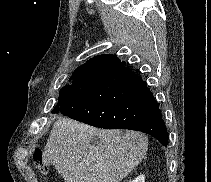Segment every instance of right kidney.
Listing matches in <instances>:
<instances>
[{
	"mask_svg": "<svg viewBox=\"0 0 211 182\" xmlns=\"http://www.w3.org/2000/svg\"><path fill=\"white\" fill-rule=\"evenodd\" d=\"M131 182H145V177H144V175H140L137 178H135L134 180H132Z\"/></svg>",
	"mask_w": 211,
	"mask_h": 182,
	"instance_id": "right-kidney-1",
	"label": "right kidney"
}]
</instances>
